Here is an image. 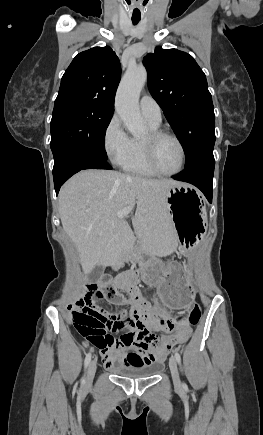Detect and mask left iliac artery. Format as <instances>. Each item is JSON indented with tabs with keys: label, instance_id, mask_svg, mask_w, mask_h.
I'll use <instances>...</instances> for the list:
<instances>
[{
	"label": "left iliac artery",
	"instance_id": "1",
	"mask_svg": "<svg viewBox=\"0 0 263 435\" xmlns=\"http://www.w3.org/2000/svg\"><path fill=\"white\" fill-rule=\"evenodd\" d=\"M175 358H176L178 363L181 362V356H180V354L178 352H175ZM183 386H185V384H183Z\"/></svg>",
	"mask_w": 263,
	"mask_h": 435
}]
</instances>
